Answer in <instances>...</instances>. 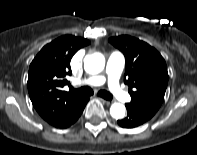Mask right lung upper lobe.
<instances>
[{"instance_id":"obj_1","label":"right lung upper lobe","mask_w":197,"mask_h":155,"mask_svg":"<svg viewBox=\"0 0 197 155\" xmlns=\"http://www.w3.org/2000/svg\"><path fill=\"white\" fill-rule=\"evenodd\" d=\"M90 42L81 37L64 35L45 45L29 67L28 92L33 106L49 124L61 127L84 97L63 91L71 75L70 61L80 48Z\"/></svg>"}]
</instances>
